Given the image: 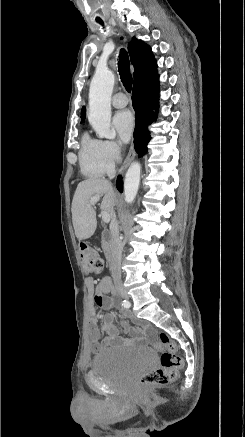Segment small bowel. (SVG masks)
<instances>
[{
	"label": "small bowel",
	"mask_w": 245,
	"mask_h": 437,
	"mask_svg": "<svg viewBox=\"0 0 245 437\" xmlns=\"http://www.w3.org/2000/svg\"><path fill=\"white\" fill-rule=\"evenodd\" d=\"M85 284L88 289L95 288V304L100 309H109L112 307L113 302L109 297V293L112 291V283L108 278L102 279L99 283L92 277H88L85 280ZM101 325H98V315L93 310L91 312L88 329L91 342V351L93 353H100L103 349L118 347L124 345L131 340L124 339L117 326L115 325V316L113 313L106 311L100 314ZM125 332L129 333L133 340H142L151 336V331L147 327L133 328L128 325L126 321L121 322ZM100 331L104 332L105 338L100 341Z\"/></svg>",
	"instance_id": "obj_1"
}]
</instances>
